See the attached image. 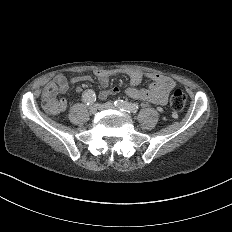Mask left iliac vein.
I'll return each mask as SVG.
<instances>
[{"instance_id": "4c4485c4", "label": "left iliac vein", "mask_w": 232, "mask_h": 232, "mask_svg": "<svg viewBox=\"0 0 232 232\" xmlns=\"http://www.w3.org/2000/svg\"><path fill=\"white\" fill-rule=\"evenodd\" d=\"M94 108L113 110L115 108V105L112 102H109V103H106V104H94Z\"/></svg>"}]
</instances>
